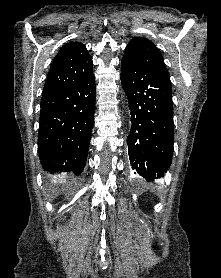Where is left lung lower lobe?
<instances>
[{"instance_id": "obj_1", "label": "left lung lower lobe", "mask_w": 221, "mask_h": 278, "mask_svg": "<svg viewBox=\"0 0 221 278\" xmlns=\"http://www.w3.org/2000/svg\"><path fill=\"white\" fill-rule=\"evenodd\" d=\"M121 82L129 100L131 130L127 138L132 168L147 181L169 168L174 143L172 85L159 71L138 72L121 67Z\"/></svg>"}]
</instances>
